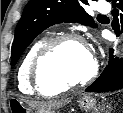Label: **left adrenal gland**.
Wrapping results in <instances>:
<instances>
[{"instance_id": "a2214340", "label": "left adrenal gland", "mask_w": 123, "mask_h": 113, "mask_svg": "<svg viewBox=\"0 0 123 113\" xmlns=\"http://www.w3.org/2000/svg\"><path fill=\"white\" fill-rule=\"evenodd\" d=\"M99 111L98 110H96V113H98ZM104 112V109H102V111H101V113H103ZM106 113H107V111H106Z\"/></svg>"}]
</instances>
